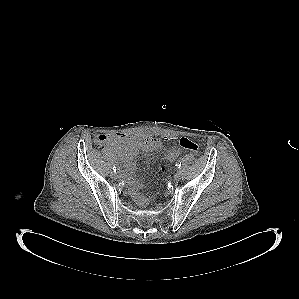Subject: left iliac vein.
<instances>
[{
	"mask_svg": "<svg viewBox=\"0 0 299 299\" xmlns=\"http://www.w3.org/2000/svg\"><path fill=\"white\" fill-rule=\"evenodd\" d=\"M181 176H182L181 172L177 171L174 175V181H176V182L180 181Z\"/></svg>",
	"mask_w": 299,
	"mask_h": 299,
	"instance_id": "4c4485c4",
	"label": "left iliac vein"
}]
</instances>
